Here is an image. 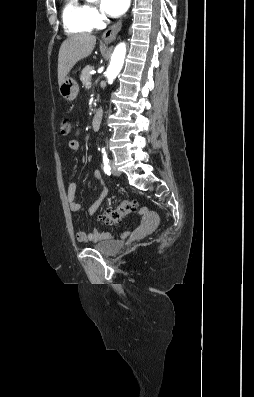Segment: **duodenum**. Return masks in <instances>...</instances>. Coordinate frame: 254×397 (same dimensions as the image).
<instances>
[{
    "label": "duodenum",
    "instance_id": "1",
    "mask_svg": "<svg viewBox=\"0 0 254 397\" xmlns=\"http://www.w3.org/2000/svg\"><path fill=\"white\" fill-rule=\"evenodd\" d=\"M102 116H103V111L102 109H97L94 113L93 119H92V128L93 130H98L100 125H101V121H102Z\"/></svg>",
    "mask_w": 254,
    "mask_h": 397
}]
</instances>
